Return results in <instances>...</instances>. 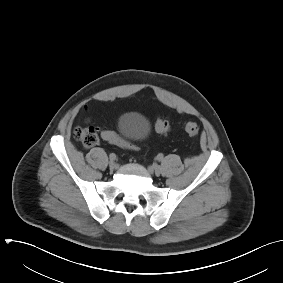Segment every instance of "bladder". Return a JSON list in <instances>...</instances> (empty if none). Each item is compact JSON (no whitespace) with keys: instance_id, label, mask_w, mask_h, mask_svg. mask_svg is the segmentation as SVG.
Wrapping results in <instances>:
<instances>
[{"instance_id":"obj_1","label":"bladder","mask_w":283,"mask_h":283,"mask_svg":"<svg viewBox=\"0 0 283 283\" xmlns=\"http://www.w3.org/2000/svg\"><path fill=\"white\" fill-rule=\"evenodd\" d=\"M120 134L129 141L137 142L145 139L150 131L148 120L137 112L121 115L117 121Z\"/></svg>"}]
</instances>
